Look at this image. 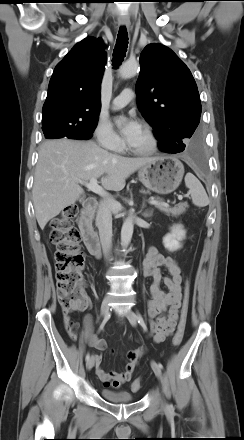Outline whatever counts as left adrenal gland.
I'll list each match as a JSON object with an SVG mask.
<instances>
[{"mask_svg": "<svg viewBox=\"0 0 244 440\" xmlns=\"http://www.w3.org/2000/svg\"><path fill=\"white\" fill-rule=\"evenodd\" d=\"M144 207H145V203H143V205H142V209H143ZM152 215H153V210H149V211H146V212L142 213V216H143L144 218H150Z\"/></svg>", "mask_w": 244, "mask_h": 440, "instance_id": "left-adrenal-gland-1", "label": "left adrenal gland"}]
</instances>
